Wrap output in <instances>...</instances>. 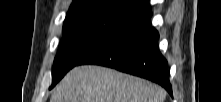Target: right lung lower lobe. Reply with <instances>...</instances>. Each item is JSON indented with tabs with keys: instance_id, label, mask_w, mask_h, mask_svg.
Listing matches in <instances>:
<instances>
[{
	"instance_id": "obj_1",
	"label": "right lung lower lobe",
	"mask_w": 221,
	"mask_h": 102,
	"mask_svg": "<svg viewBox=\"0 0 221 102\" xmlns=\"http://www.w3.org/2000/svg\"><path fill=\"white\" fill-rule=\"evenodd\" d=\"M151 16V9L142 13L126 28L94 49L78 65L97 64L115 68L151 80L172 95L168 63L159 50V33L151 24Z\"/></svg>"
}]
</instances>
